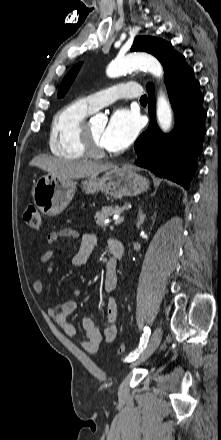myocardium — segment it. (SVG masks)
Masks as SVG:
<instances>
[{
  "mask_svg": "<svg viewBox=\"0 0 221 440\" xmlns=\"http://www.w3.org/2000/svg\"><path fill=\"white\" fill-rule=\"evenodd\" d=\"M80 140L82 147L87 156L93 158H102L107 154V151L97 145L89 130V123L84 120L80 127Z\"/></svg>",
  "mask_w": 221,
  "mask_h": 440,
  "instance_id": "1",
  "label": "myocardium"
}]
</instances>
